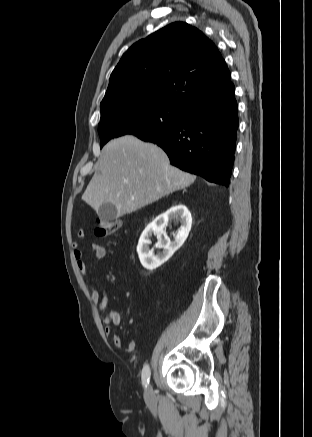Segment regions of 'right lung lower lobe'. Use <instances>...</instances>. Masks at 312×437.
Wrapping results in <instances>:
<instances>
[{
	"label": "right lung lower lobe",
	"instance_id": "obj_1",
	"mask_svg": "<svg viewBox=\"0 0 312 437\" xmlns=\"http://www.w3.org/2000/svg\"><path fill=\"white\" fill-rule=\"evenodd\" d=\"M238 125L235 87L230 81L221 91L188 107L178 125L144 141L163 148L172 165L228 187Z\"/></svg>",
	"mask_w": 312,
	"mask_h": 437
}]
</instances>
